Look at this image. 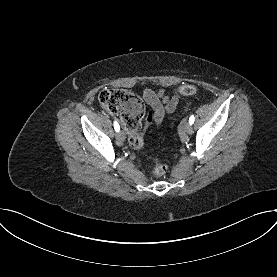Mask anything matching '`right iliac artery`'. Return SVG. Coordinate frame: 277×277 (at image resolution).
<instances>
[{
    "instance_id": "right-iliac-artery-1",
    "label": "right iliac artery",
    "mask_w": 277,
    "mask_h": 277,
    "mask_svg": "<svg viewBox=\"0 0 277 277\" xmlns=\"http://www.w3.org/2000/svg\"><path fill=\"white\" fill-rule=\"evenodd\" d=\"M114 129L117 132L120 130L119 124L116 121L114 122Z\"/></svg>"
}]
</instances>
